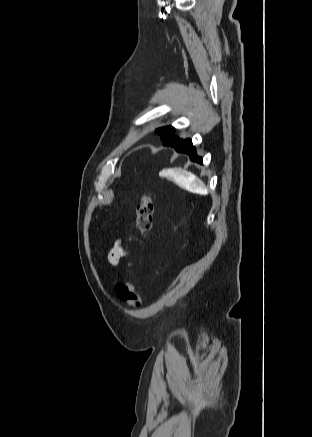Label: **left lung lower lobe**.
Segmentation results:
<instances>
[{
    "mask_svg": "<svg viewBox=\"0 0 312 437\" xmlns=\"http://www.w3.org/2000/svg\"><path fill=\"white\" fill-rule=\"evenodd\" d=\"M165 146L173 147L177 152H183L190 156L191 161L202 164V157L198 156L196 149L193 146L191 139H179L170 141L169 143H163Z\"/></svg>",
    "mask_w": 312,
    "mask_h": 437,
    "instance_id": "0a47b994",
    "label": "left lung lower lobe"
}]
</instances>
